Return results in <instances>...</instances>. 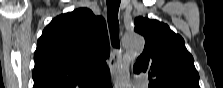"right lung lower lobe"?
Wrapping results in <instances>:
<instances>
[{
    "mask_svg": "<svg viewBox=\"0 0 223 88\" xmlns=\"http://www.w3.org/2000/svg\"><path fill=\"white\" fill-rule=\"evenodd\" d=\"M110 76L104 81L97 84L96 88H111Z\"/></svg>",
    "mask_w": 223,
    "mask_h": 88,
    "instance_id": "obj_1",
    "label": "right lung lower lobe"
}]
</instances>
